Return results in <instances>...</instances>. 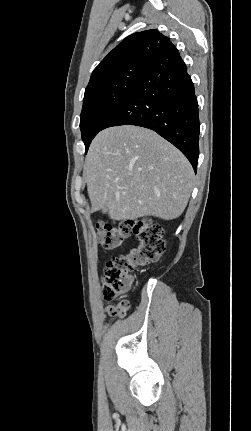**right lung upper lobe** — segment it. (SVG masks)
Segmentation results:
<instances>
[{"label":"right lung upper lobe","instance_id":"1","mask_svg":"<svg viewBox=\"0 0 251 431\" xmlns=\"http://www.w3.org/2000/svg\"><path fill=\"white\" fill-rule=\"evenodd\" d=\"M158 51L177 52L178 50L157 30L137 32L126 37L93 70L89 84L110 75L117 69L138 61H148L151 54Z\"/></svg>","mask_w":251,"mask_h":431}]
</instances>
